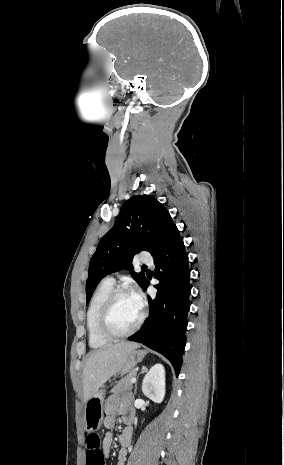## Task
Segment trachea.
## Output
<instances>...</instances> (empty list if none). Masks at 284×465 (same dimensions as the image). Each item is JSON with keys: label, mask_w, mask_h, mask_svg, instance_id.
Listing matches in <instances>:
<instances>
[{"label": "trachea", "mask_w": 284, "mask_h": 465, "mask_svg": "<svg viewBox=\"0 0 284 465\" xmlns=\"http://www.w3.org/2000/svg\"><path fill=\"white\" fill-rule=\"evenodd\" d=\"M142 270H147V266L146 265H142Z\"/></svg>", "instance_id": "3493384b"}]
</instances>
